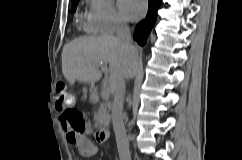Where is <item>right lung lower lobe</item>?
<instances>
[{
  "instance_id": "right-lung-lower-lobe-1",
  "label": "right lung lower lobe",
  "mask_w": 242,
  "mask_h": 160,
  "mask_svg": "<svg viewBox=\"0 0 242 160\" xmlns=\"http://www.w3.org/2000/svg\"><path fill=\"white\" fill-rule=\"evenodd\" d=\"M160 4L161 0H149V8L146 18L136 26L134 39L142 46L145 45L147 37L153 28Z\"/></svg>"
}]
</instances>
